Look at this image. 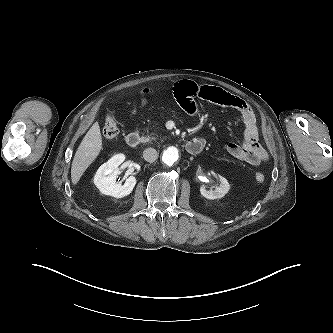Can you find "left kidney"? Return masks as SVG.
Masks as SVG:
<instances>
[{"mask_svg": "<svg viewBox=\"0 0 333 333\" xmlns=\"http://www.w3.org/2000/svg\"><path fill=\"white\" fill-rule=\"evenodd\" d=\"M220 186L215 189L206 190L205 186L200 187V193L207 199L214 200L220 199L228 193L230 185L226 178L219 176Z\"/></svg>", "mask_w": 333, "mask_h": 333, "instance_id": "left-kidney-1", "label": "left kidney"}]
</instances>
